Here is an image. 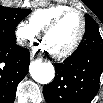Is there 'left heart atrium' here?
<instances>
[{"mask_svg": "<svg viewBox=\"0 0 103 103\" xmlns=\"http://www.w3.org/2000/svg\"><path fill=\"white\" fill-rule=\"evenodd\" d=\"M38 47H39L41 50H49L48 44L46 43L45 40H42V41L39 43Z\"/></svg>", "mask_w": 103, "mask_h": 103, "instance_id": "1", "label": "left heart atrium"}]
</instances>
